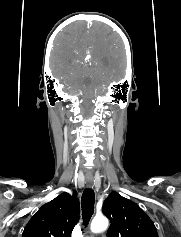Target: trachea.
Instances as JSON below:
<instances>
[{
  "instance_id": "trachea-1",
  "label": "trachea",
  "mask_w": 181,
  "mask_h": 237,
  "mask_svg": "<svg viewBox=\"0 0 181 237\" xmlns=\"http://www.w3.org/2000/svg\"><path fill=\"white\" fill-rule=\"evenodd\" d=\"M95 194L92 189H85L82 198V217L83 224L87 225L94 212Z\"/></svg>"
}]
</instances>
